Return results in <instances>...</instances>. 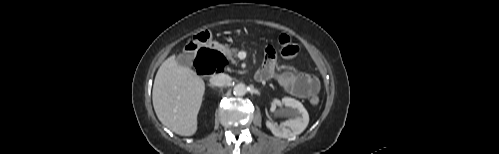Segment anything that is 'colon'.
<instances>
[{
  "instance_id": "1",
  "label": "colon",
  "mask_w": 499,
  "mask_h": 154,
  "mask_svg": "<svg viewBox=\"0 0 499 154\" xmlns=\"http://www.w3.org/2000/svg\"><path fill=\"white\" fill-rule=\"evenodd\" d=\"M211 40V35L208 31H202L198 34H196L191 40H190V46L191 47H197V45L200 44H205ZM279 46H280V51L281 54L284 58L288 60H294L296 59L299 54H300V48L299 46L286 34H283L279 37ZM214 53V67L216 71H220L224 69L226 66L227 62L225 57L219 53V52H213ZM310 102L313 106H318L321 102L320 98L318 96H313L310 99Z\"/></svg>"
}]
</instances>
